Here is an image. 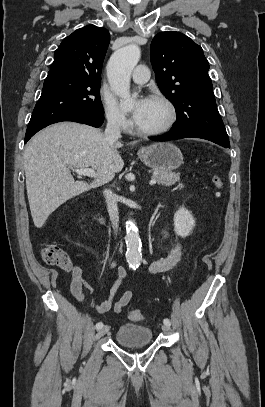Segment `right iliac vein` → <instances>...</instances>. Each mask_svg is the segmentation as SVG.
Masks as SVG:
<instances>
[{
    "mask_svg": "<svg viewBox=\"0 0 265 407\" xmlns=\"http://www.w3.org/2000/svg\"><path fill=\"white\" fill-rule=\"evenodd\" d=\"M109 331V326H103L102 328H100L98 331H97V334H96V336H95V339H99V338H101L103 335H105L107 332Z\"/></svg>",
    "mask_w": 265,
    "mask_h": 407,
    "instance_id": "63e3f726",
    "label": "right iliac vein"
}]
</instances>
